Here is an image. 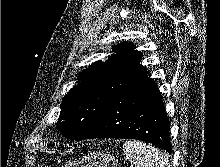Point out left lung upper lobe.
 Wrapping results in <instances>:
<instances>
[{
    "label": "left lung upper lobe",
    "instance_id": "5c2ea615",
    "mask_svg": "<svg viewBox=\"0 0 220 167\" xmlns=\"http://www.w3.org/2000/svg\"><path fill=\"white\" fill-rule=\"evenodd\" d=\"M123 43L113 47L105 62L93 63L80 74L81 82L74 86L61 103L57 129L69 139L82 140L99 121L113 99L129 84L146 76L140 65L142 55Z\"/></svg>",
    "mask_w": 220,
    "mask_h": 167
}]
</instances>
